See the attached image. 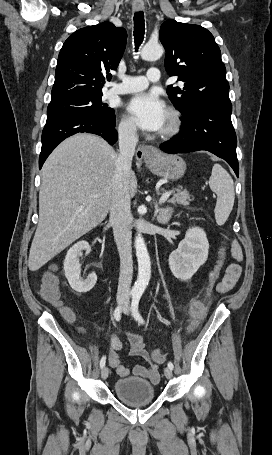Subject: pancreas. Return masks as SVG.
Masks as SVG:
<instances>
[{"mask_svg":"<svg viewBox=\"0 0 272 455\" xmlns=\"http://www.w3.org/2000/svg\"><path fill=\"white\" fill-rule=\"evenodd\" d=\"M194 198L188 193L187 190L176 189V193H173V197L169 200L172 204L188 205Z\"/></svg>","mask_w":272,"mask_h":455,"instance_id":"1","label":"pancreas"}]
</instances>
